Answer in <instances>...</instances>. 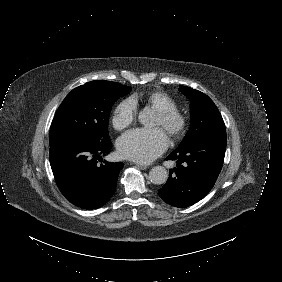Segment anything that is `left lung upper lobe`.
<instances>
[{
	"label": "left lung upper lobe",
	"mask_w": 282,
	"mask_h": 282,
	"mask_svg": "<svg viewBox=\"0 0 282 282\" xmlns=\"http://www.w3.org/2000/svg\"><path fill=\"white\" fill-rule=\"evenodd\" d=\"M179 90L191 102V127L177 149L184 148L198 137L225 132V125L220 112L207 95L190 87L181 86Z\"/></svg>",
	"instance_id": "left-lung-upper-lobe-1"
}]
</instances>
